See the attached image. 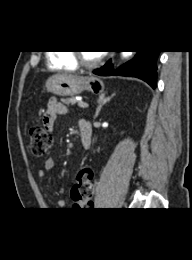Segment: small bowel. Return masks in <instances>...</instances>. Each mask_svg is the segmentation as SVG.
I'll list each match as a JSON object with an SVG mask.
<instances>
[{"label":"small bowel","mask_w":192,"mask_h":260,"mask_svg":"<svg viewBox=\"0 0 192 260\" xmlns=\"http://www.w3.org/2000/svg\"><path fill=\"white\" fill-rule=\"evenodd\" d=\"M66 112V108L62 105L56 98L52 97L49 99L47 104V109L43 115V126L51 132L54 127V123L56 118L59 114H64ZM55 167V160L53 158H48L43 168H39L37 171V175L39 178H44L47 171L54 169ZM75 207L84 206L77 202H74ZM66 207V203L63 200L58 201L57 208L64 209Z\"/></svg>","instance_id":"1"}]
</instances>
